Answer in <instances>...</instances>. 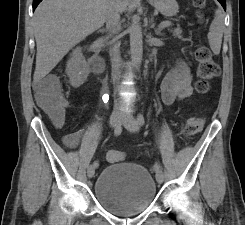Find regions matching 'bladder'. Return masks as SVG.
<instances>
[{
  "mask_svg": "<svg viewBox=\"0 0 245 225\" xmlns=\"http://www.w3.org/2000/svg\"><path fill=\"white\" fill-rule=\"evenodd\" d=\"M93 195L108 213L129 217L144 212L155 202L157 186L147 168L118 162L100 170Z\"/></svg>",
  "mask_w": 245,
  "mask_h": 225,
  "instance_id": "31cf9c89",
  "label": "bladder"
}]
</instances>
